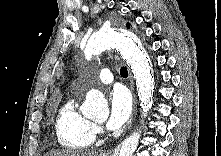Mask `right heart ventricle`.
Returning a JSON list of instances; mask_svg holds the SVG:
<instances>
[{
	"label": "right heart ventricle",
	"instance_id": "obj_1",
	"mask_svg": "<svg viewBox=\"0 0 221 156\" xmlns=\"http://www.w3.org/2000/svg\"><path fill=\"white\" fill-rule=\"evenodd\" d=\"M55 129L59 144L65 148L84 149L95 139L94 124L80 113L73 98L59 109Z\"/></svg>",
	"mask_w": 221,
	"mask_h": 156
}]
</instances>
